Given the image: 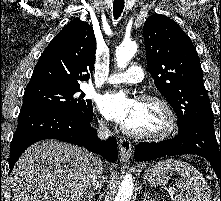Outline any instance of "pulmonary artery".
Returning <instances> with one entry per match:
<instances>
[{
	"label": "pulmonary artery",
	"instance_id": "1",
	"mask_svg": "<svg viewBox=\"0 0 221 201\" xmlns=\"http://www.w3.org/2000/svg\"><path fill=\"white\" fill-rule=\"evenodd\" d=\"M144 73L141 67L132 65L128 70L121 73H116L108 77L106 83L119 84V83H139L143 80Z\"/></svg>",
	"mask_w": 221,
	"mask_h": 201
}]
</instances>
